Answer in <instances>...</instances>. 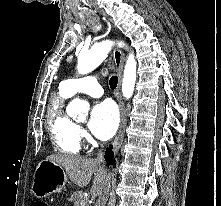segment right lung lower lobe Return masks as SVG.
<instances>
[{"mask_svg": "<svg viewBox=\"0 0 221 206\" xmlns=\"http://www.w3.org/2000/svg\"><path fill=\"white\" fill-rule=\"evenodd\" d=\"M105 158L107 160V162L109 164H113L115 161L113 159V152H112V146H110L109 148H107L106 152H105Z\"/></svg>", "mask_w": 221, "mask_h": 206, "instance_id": "1", "label": "right lung lower lobe"}]
</instances>
